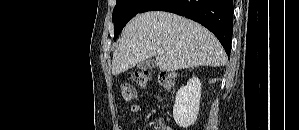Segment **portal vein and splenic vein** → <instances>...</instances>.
<instances>
[{
  "mask_svg": "<svg viewBox=\"0 0 299 130\" xmlns=\"http://www.w3.org/2000/svg\"><path fill=\"white\" fill-rule=\"evenodd\" d=\"M164 53V50L160 49L158 50V54H163Z\"/></svg>",
  "mask_w": 299,
  "mask_h": 130,
  "instance_id": "obj_1",
  "label": "portal vein and splenic vein"
}]
</instances>
